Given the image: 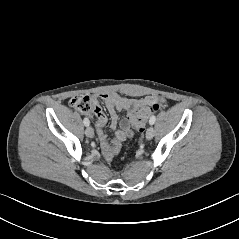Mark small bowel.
I'll return each instance as SVG.
<instances>
[{"label":"small bowel","mask_w":239,"mask_h":239,"mask_svg":"<svg viewBox=\"0 0 239 239\" xmlns=\"http://www.w3.org/2000/svg\"><path fill=\"white\" fill-rule=\"evenodd\" d=\"M101 100L106 106L110 116V126L116 129L119 121L118 112H127V117L122 123V128L115 132V138L110 140L105 134L103 127L107 123V117L100 107L98 101ZM93 102V114L96 117L95 127L101 142L102 152L107 160H111L118 152L122 142L132 134L133 117L136 109L143 104L158 102L157 97H146L143 99L128 98L118 93H103L91 96Z\"/></svg>","instance_id":"obj_1"}]
</instances>
